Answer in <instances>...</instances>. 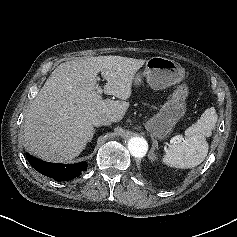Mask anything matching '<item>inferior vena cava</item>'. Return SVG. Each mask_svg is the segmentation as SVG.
Here are the masks:
<instances>
[{
	"instance_id": "1",
	"label": "inferior vena cava",
	"mask_w": 237,
	"mask_h": 237,
	"mask_svg": "<svg viewBox=\"0 0 237 237\" xmlns=\"http://www.w3.org/2000/svg\"><path fill=\"white\" fill-rule=\"evenodd\" d=\"M113 122V118L107 116H98L94 118L93 125L94 126H101V125H109Z\"/></svg>"
}]
</instances>
